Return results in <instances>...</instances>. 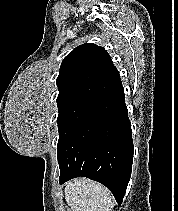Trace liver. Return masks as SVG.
I'll return each instance as SVG.
<instances>
[{
	"mask_svg": "<svg viewBox=\"0 0 178 211\" xmlns=\"http://www.w3.org/2000/svg\"><path fill=\"white\" fill-rule=\"evenodd\" d=\"M64 194L70 211H112L114 199L109 190L87 178L69 181Z\"/></svg>",
	"mask_w": 178,
	"mask_h": 211,
	"instance_id": "liver-1",
	"label": "liver"
}]
</instances>
